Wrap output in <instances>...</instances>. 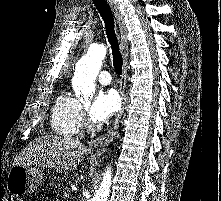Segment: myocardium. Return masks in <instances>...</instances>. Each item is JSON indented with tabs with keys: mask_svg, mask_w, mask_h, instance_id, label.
Segmentation results:
<instances>
[{
	"mask_svg": "<svg viewBox=\"0 0 221 201\" xmlns=\"http://www.w3.org/2000/svg\"><path fill=\"white\" fill-rule=\"evenodd\" d=\"M84 125H85L86 128L92 129V130L97 128V126L94 123H92L89 119H86L84 121Z\"/></svg>",
	"mask_w": 221,
	"mask_h": 201,
	"instance_id": "myocardium-1",
	"label": "myocardium"
}]
</instances>
